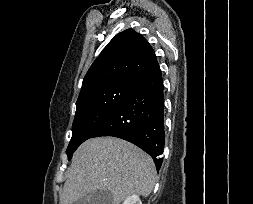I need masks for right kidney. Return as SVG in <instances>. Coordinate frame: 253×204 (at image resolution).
<instances>
[{"instance_id": "right-kidney-1", "label": "right kidney", "mask_w": 253, "mask_h": 204, "mask_svg": "<svg viewBox=\"0 0 253 204\" xmlns=\"http://www.w3.org/2000/svg\"><path fill=\"white\" fill-rule=\"evenodd\" d=\"M122 204H142L138 195H132L125 199Z\"/></svg>"}]
</instances>
